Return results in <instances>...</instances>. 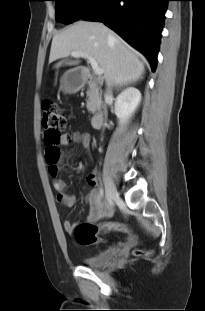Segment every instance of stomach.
Instances as JSON below:
<instances>
[{
    "mask_svg": "<svg viewBox=\"0 0 205 311\" xmlns=\"http://www.w3.org/2000/svg\"><path fill=\"white\" fill-rule=\"evenodd\" d=\"M84 81L85 75L82 71L71 69L62 76L61 87L67 93H74L82 88Z\"/></svg>",
    "mask_w": 205,
    "mask_h": 311,
    "instance_id": "0dacf381",
    "label": "stomach"
}]
</instances>
